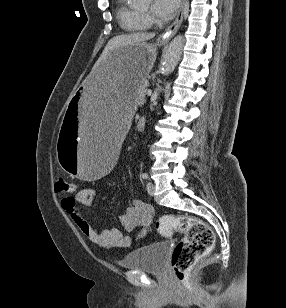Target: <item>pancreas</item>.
<instances>
[{"instance_id": "cf45deb5", "label": "pancreas", "mask_w": 286, "mask_h": 308, "mask_svg": "<svg viewBox=\"0 0 286 308\" xmlns=\"http://www.w3.org/2000/svg\"><path fill=\"white\" fill-rule=\"evenodd\" d=\"M147 82L144 81L136 89V97L139 105L143 104L145 101V90H147Z\"/></svg>"}]
</instances>
